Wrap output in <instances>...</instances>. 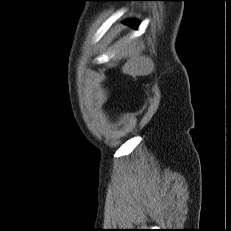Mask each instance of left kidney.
Segmentation results:
<instances>
[{"label":"left kidney","instance_id":"5707ae66","mask_svg":"<svg viewBox=\"0 0 231 231\" xmlns=\"http://www.w3.org/2000/svg\"><path fill=\"white\" fill-rule=\"evenodd\" d=\"M154 65L150 58L145 56L134 57L123 67V72L132 77L148 75L153 71Z\"/></svg>","mask_w":231,"mask_h":231}]
</instances>
